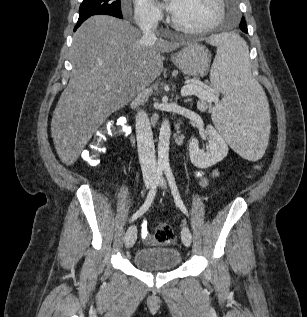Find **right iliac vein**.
I'll use <instances>...</instances> for the list:
<instances>
[{
	"label": "right iliac vein",
	"instance_id": "1",
	"mask_svg": "<svg viewBox=\"0 0 307 317\" xmlns=\"http://www.w3.org/2000/svg\"><path fill=\"white\" fill-rule=\"evenodd\" d=\"M153 180H154V177L151 175L145 177V186L147 189L151 187ZM136 238H137V229L134 225H132L127 229L125 233L124 243L126 248L132 247L136 241Z\"/></svg>",
	"mask_w": 307,
	"mask_h": 317
}]
</instances>
